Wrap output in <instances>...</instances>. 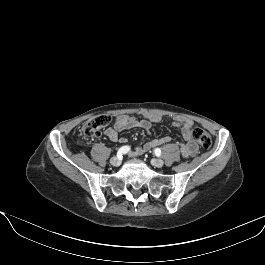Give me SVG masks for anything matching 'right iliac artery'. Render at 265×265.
I'll return each mask as SVG.
<instances>
[{"instance_id":"right-iliac-artery-1","label":"right iliac artery","mask_w":265,"mask_h":265,"mask_svg":"<svg viewBox=\"0 0 265 265\" xmlns=\"http://www.w3.org/2000/svg\"><path fill=\"white\" fill-rule=\"evenodd\" d=\"M130 150L129 146H122L118 152H117V156L118 157H122V155L126 154L128 151Z\"/></svg>"}]
</instances>
